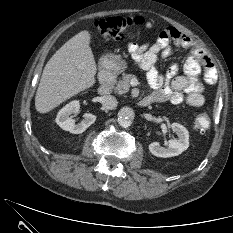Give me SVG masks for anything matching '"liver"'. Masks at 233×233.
<instances>
[{
    "label": "liver",
    "instance_id": "obj_1",
    "mask_svg": "<svg viewBox=\"0 0 233 233\" xmlns=\"http://www.w3.org/2000/svg\"><path fill=\"white\" fill-rule=\"evenodd\" d=\"M90 39L87 30L79 32L47 62L35 96V108L39 113H47L93 86L97 68Z\"/></svg>",
    "mask_w": 233,
    "mask_h": 233
}]
</instances>
